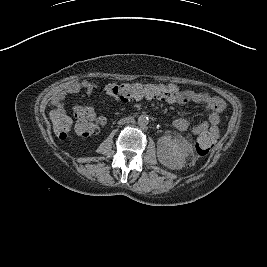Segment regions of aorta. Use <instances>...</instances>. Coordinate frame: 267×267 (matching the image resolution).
<instances>
[{
	"label": "aorta",
	"mask_w": 267,
	"mask_h": 267,
	"mask_svg": "<svg viewBox=\"0 0 267 267\" xmlns=\"http://www.w3.org/2000/svg\"><path fill=\"white\" fill-rule=\"evenodd\" d=\"M139 126H146L149 123V118L146 115H140L137 121Z\"/></svg>",
	"instance_id": "1"
}]
</instances>
